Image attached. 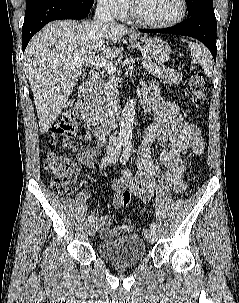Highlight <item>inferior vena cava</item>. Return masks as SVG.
Here are the masks:
<instances>
[{
  "mask_svg": "<svg viewBox=\"0 0 239 303\" xmlns=\"http://www.w3.org/2000/svg\"><path fill=\"white\" fill-rule=\"evenodd\" d=\"M95 21L99 23H114L112 9L108 0H101L95 12ZM117 145V138L113 135L109 136L108 149H114Z\"/></svg>",
  "mask_w": 239,
  "mask_h": 303,
  "instance_id": "1",
  "label": "inferior vena cava"
}]
</instances>
